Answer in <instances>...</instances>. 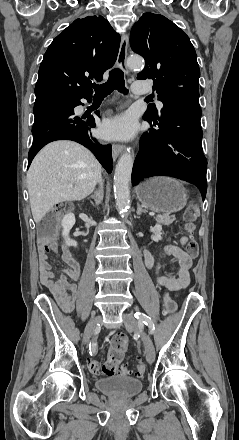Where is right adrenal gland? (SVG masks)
Returning a JSON list of instances; mask_svg holds the SVG:
<instances>
[{
  "label": "right adrenal gland",
  "mask_w": 239,
  "mask_h": 440,
  "mask_svg": "<svg viewBox=\"0 0 239 440\" xmlns=\"http://www.w3.org/2000/svg\"><path fill=\"white\" fill-rule=\"evenodd\" d=\"M91 198H93L96 206H99V204H101L103 198H104V192H103V186L102 184H100L99 186V190H97V192H94L93 196H91Z\"/></svg>",
  "instance_id": "2a0ac1e0"
}]
</instances>
